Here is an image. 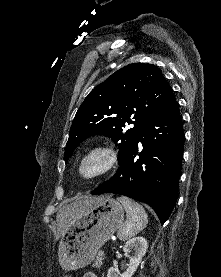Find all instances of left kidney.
Wrapping results in <instances>:
<instances>
[{
	"label": "left kidney",
	"instance_id": "1",
	"mask_svg": "<svg viewBox=\"0 0 221 277\" xmlns=\"http://www.w3.org/2000/svg\"><path fill=\"white\" fill-rule=\"evenodd\" d=\"M148 248L147 240L144 237H134L126 242L123 251L130 254L132 250L134 253L129 257V265L127 270L120 274L116 268L111 267L108 270L107 277H132L137 267L142 261L143 256L146 254Z\"/></svg>",
	"mask_w": 221,
	"mask_h": 277
}]
</instances>
